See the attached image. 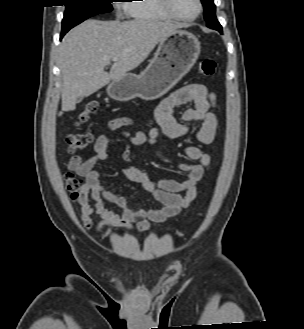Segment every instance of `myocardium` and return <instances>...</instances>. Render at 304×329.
Masks as SVG:
<instances>
[{"instance_id": "myocardium-1", "label": "myocardium", "mask_w": 304, "mask_h": 329, "mask_svg": "<svg viewBox=\"0 0 304 329\" xmlns=\"http://www.w3.org/2000/svg\"><path fill=\"white\" fill-rule=\"evenodd\" d=\"M160 2L162 4V7L164 8V10L166 11V13L172 19L179 20V21H185V22L193 21V20L197 19L201 15V13L203 11V3H202V0H197V3H198V11L192 17H184V16H181V15L177 14L174 11L173 7H172V1L171 0H160Z\"/></svg>"}]
</instances>
